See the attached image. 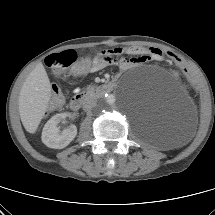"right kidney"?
<instances>
[{
    "label": "right kidney",
    "mask_w": 215,
    "mask_h": 215,
    "mask_svg": "<svg viewBox=\"0 0 215 215\" xmlns=\"http://www.w3.org/2000/svg\"><path fill=\"white\" fill-rule=\"evenodd\" d=\"M67 117H73L68 113L54 115L44 126L42 131V142L49 148L63 149L70 144L77 135V128L71 125L60 130L59 124Z\"/></svg>",
    "instance_id": "1"
}]
</instances>
